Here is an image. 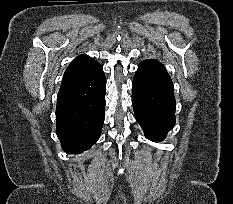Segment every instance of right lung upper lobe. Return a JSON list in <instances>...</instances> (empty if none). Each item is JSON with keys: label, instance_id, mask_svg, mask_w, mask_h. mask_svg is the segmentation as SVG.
Instances as JSON below:
<instances>
[{"label": "right lung upper lobe", "instance_id": "1", "mask_svg": "<svg viewBox=\"0 0 233 204\" xmlns=\"http://www.w3.org/2000/svg\"><path fill=\"white\" fill-rule=\"evenodd\" d=\"M99 65L100 64L97 61L87 55L78 56L66 69L62 79V84L77 80L90 74Z\"/></svg>", "mask_w": 233, "mask_h": 204}]
</instances>
